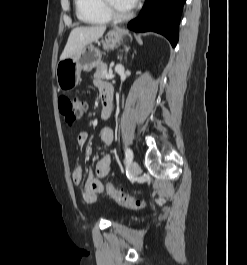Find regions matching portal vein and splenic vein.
<instances>
[{
    "mask_svg": "<svg viewBox=\"0 0 247 265\" xmlns=\"http://www.w3.org/2000/svg\"><path fill=\"white\" fill-rule=\"evenodd\" d=\"M106 78L107 79H112V78H114V75L112 73H109V74L106 75Z\"/></svg>",
    "mask_w": 247,
    "mask_h": 265,
    "instance_id": "1",
    "label": "portal vein and splenic vein"
}]
</instances>
